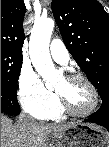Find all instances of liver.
I'll return each mask as SVG.
<instances>
[{
    "mask_svg": "<svg viewBox=\"0 0 109 147\" xmlns=\"http://www.w3.org/2000/svg\"><path fill=\"white\" fill-rule=\"evenodd\" d=\"M72 125L36 123L24 127L13 124L10 118L2 115L1 147H47L50 134L64 131Z\"/></svg>",
    "mask_w": 109,
    "mask_h": 147,
    "instance_id": "6515ba94",
    "label": "liver"
}]
</instances>
